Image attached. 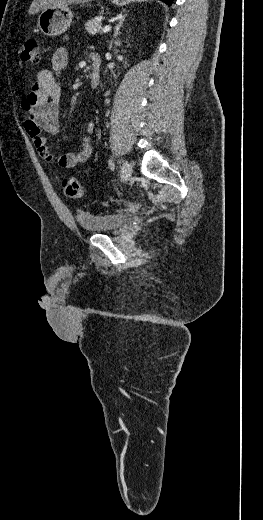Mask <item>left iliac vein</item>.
<instances>
[{"instance_id":"1","label":"left iliac vein","mask_w":263,"mask_h":520,"mask_svg":"<svg viewBox=\"0 0 263 520\" xmlns=\"http://www.w3.org/2000/svg\"><path fill=\"white\" fill-rule=\"evenodd\" d=\"M132 175V166L128 161H123L121 165V180L128 181Z\"/></svg>"}]
</instances>
